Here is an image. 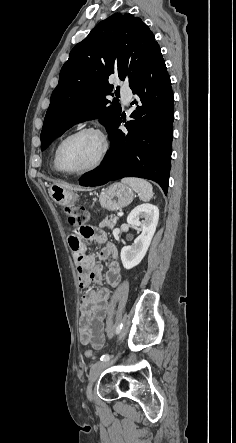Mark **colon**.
Masks as SVG:
<instances>
[{
  "label": "colon",
  "mask_w": 236,
  "mask_h": 443,
  "mask_svg": "<svg viewBox=\"0 0 236 443\" xmlns=\"http://www.w3.org/2000/svg\"><path fill=\"white\" fill-rule=\"evenodd\" d=\"M64 215L68 225L77 228V232L82 235L83 238L90 239L92 237V227L86 226L89 219V214L84 208H66ZM85 357L89 360L94 359V352L90 349L85 351Z\"/></svg>",
  "instance_id": "1"
}]
</instances>
